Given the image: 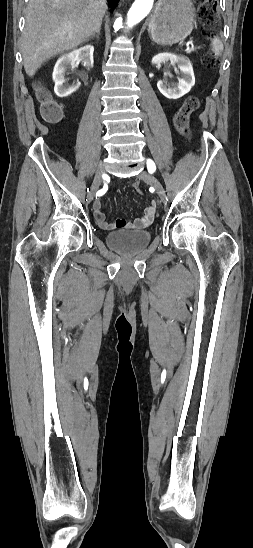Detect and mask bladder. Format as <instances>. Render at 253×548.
<instances>
[{
  "mask_svg": "<svg viewBox=\"0 0 253 548\" xmlns=\"http://www.w3.org/2000/svg\"><path fill=\"white\" fill-rule=\"evenodd\" d=\"M152 234L149 230H119L106 235L107 244L124 254H136L148 246Z\"/></svg>",
  "mask_w": 253,
  "mask_h": 548,
  "instance_id": "obj_1",
  "label": "bladder"
}]
</instances>
